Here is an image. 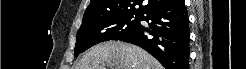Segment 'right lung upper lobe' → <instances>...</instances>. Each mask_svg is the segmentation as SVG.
Segmentation results:
<instances>
[{
	"instance_id": "right-lung-upper-lobe-1",
	"label": "right lung upper lobe",
	"mask_w": 246,
	"mask_h": 69,
	"mask_svg": "<svg viewBox=\"0 0 246 69\" xmlns=\"http://www.w3.org/2000/svg\"><path fill=\"white\" fill-rule=\"evenodd\" d=\"M165 0H91L87 7L83 21L98 20L113 15L143 14L153 6L163 3ZM139 6L136 8V6Z\"/></svg>"
}]
</instances>
